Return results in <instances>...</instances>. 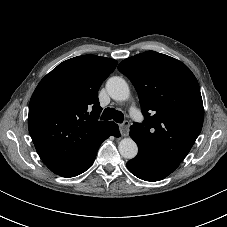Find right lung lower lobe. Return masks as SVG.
<instances>
[{
    "label": "right lung lower lobe",
    "instance_id": "1",
    "mask_svg": "<svg viewBox=\"0 0 227 227\" xmlns=\"http://www.w3.org/2000/svg\"><path fill=\"white\" fill-rule=\"evenodd\" d=\"M110 135H113V136L119 135V129L116 124H113L110 130L105 134L103 139L99 142V144L80 163H78L74 168H72L71 170L67 171L66 173L60 176L69 178L85 172L93 164L98 148L101 145V143L105 139H107Z\"/></svg>",
    "mask_w": 227,
    "mask_h": 227
}]
</instances>
